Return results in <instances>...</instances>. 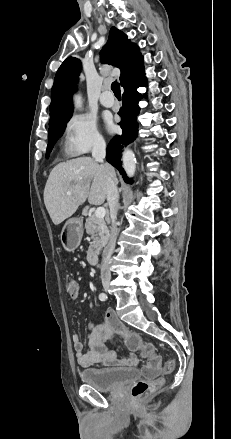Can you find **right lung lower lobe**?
<instances>
[{
	"mask_svg": "<svg viewBox=\"0 0 231 439\" xmlns=\"http://www.w3.org/2000/svg\"><path fill=\"white\" fill-rule=\"evenodd\" d=\"M147 80L143 76L137 82L129 85L124 89L122 95L123 106L119 111V115L122 117V121L119 125L122 128L123 134L117 135L109 143L107 147L106 160L112 164L120 174L123 176L125 182L132 183V179L126 176L121 161V151L123 147L131 142L138 135V124L136 121L137 114L140 111L138 101L141 95L136 91L138 87L146 86Z\"/></svg>",
	"mask_w": 231,
	"mask_h": 439,
	"instance_id": "right-lung-lower-lobe-1",
	"label": "right lung lower lobe"
}]
</instances>
